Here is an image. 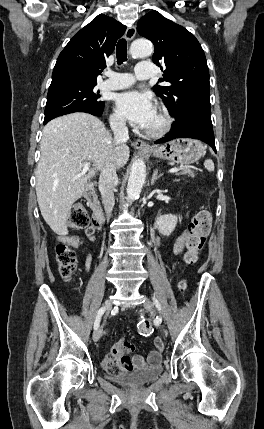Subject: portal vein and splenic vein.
Segmentation results:
<instances>
[{
  "label": "portal vein and splenic vein",
  "instance_id": "obj_1",
  "mask_svg": "<svg viewBox=\"0 0 264 429\" xmlns=\"http://www.w3.org/2000/svg\"><path fill=\"white\" fill-rule=\"evenodd\" d=\"M80 165L83 168V171H88L91 164L89 162H84V163H81ZM178 171H179V168L174 167V168H171L168 172L170 174H172V173H176Z\"/></svg>",
  "mask_w": 264,
  "mask_h": 429
}]
</instances>
